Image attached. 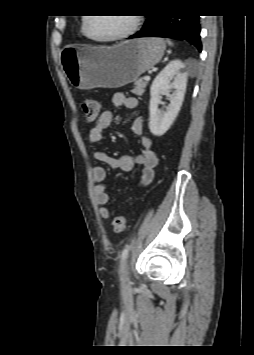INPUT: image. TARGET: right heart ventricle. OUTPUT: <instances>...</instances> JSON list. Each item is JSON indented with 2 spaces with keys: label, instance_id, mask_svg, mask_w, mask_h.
<instances>
[{
  "label": "right heart ventricle",
  "instance_id": "e07e8e85",
  "mask_svg": "<svg viewBox=\"0 0 254 355\" xmlns=\"http://www.w3.org/2000/svg\"><path fill=\"white\" fill-rule=\"evenodd\" d=\"M84 21H85V19L83 18L82 19V23H81V32L84 34V31H83V25H84ZM85 35V34H84Z\"/></svg>",
  "mask_w": 254,
  "mask_h": 355
}]
</instances>
